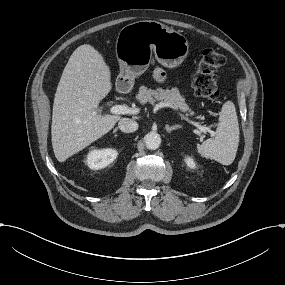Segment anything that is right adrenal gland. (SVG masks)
Listing matches in <instances>:
<instances>
[{"instance_id": "right-adrenal-gland-1", "label": "right adrenal gland", "mask_w": 285, "mask_h": 285, "mask_svg": "<svg viewBox=\"0 0 285 285\" xmlns=\"http://www.w3.org/2000/svg\"><path fill=\"white\" fill-rule=\"evenodd\" d=\"M118 127H115L114 129H113V133H116L117 131H118Z\"/></svg>"}]
</instances>
